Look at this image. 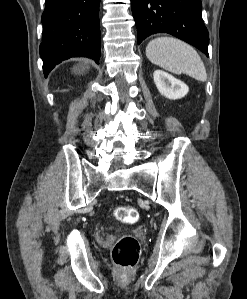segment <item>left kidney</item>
Segmentation results:
<instances>
[{"mask_svg": "<svg viewBox=\"0 0 247 299\" xmlns=\"http://www.w3.org/2000/svg\"><path fill=\"white\" fill-rule=\"evenodd\" d=\"M153 79L160 94L168 99H180L189 91L185 83L165 71H154Z\"/></svg>", "mask_w": 247, "mask_h": 299, "instance_id": "1", "label": "left kidney"}]
</instances>
